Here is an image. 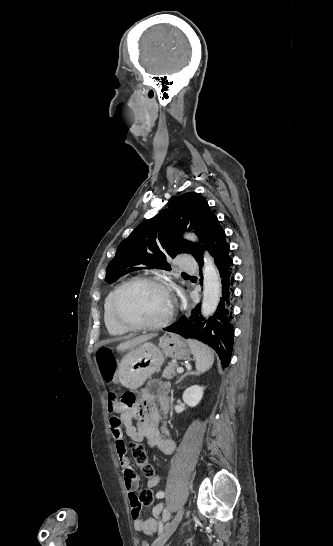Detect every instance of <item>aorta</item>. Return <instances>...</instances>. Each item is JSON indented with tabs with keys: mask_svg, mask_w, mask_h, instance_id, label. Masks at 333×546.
Returning <instances> with one entry per match:
<instances>
[{
	"mask_svg": "<svg viewBox=\"0 0 333 546\" xmlns=\"http://www.w3.org/2000/svg\"><path fill=\"white\" fill-rule=\"evenodd\" d=\"M187 239L195 241L196 237L193 234H188ZM203 276V301L201 311L204 317H209L217 309L220 299L221 283L218 270L208 253H205Z\"/></svg>",
	"mask_w": 333,
	"mask_h": 546,
	"instance_id": "1",
	"label": "aorta"
}]
</instances>
